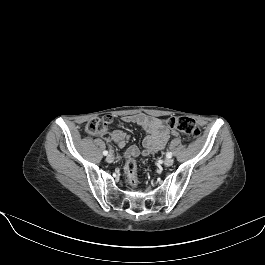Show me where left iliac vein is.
<instances>
[{
  "mask_svg": "<svg viewBox=\"0 0 265 265\" xmlns=\"http://www.w3.org/2000/svg\"><path fill=\"white\" fill-rule=\"evenodd\" d=\"M174 160L172 158H167L164 161L165 166H171L173 164Z\"/></svg>",
  "mask_w": 265,
  "mask_h": 265,
  "instance_id": "left-iliac-vein-1",
  "label": "left iliac vein"
}]
</instances>
